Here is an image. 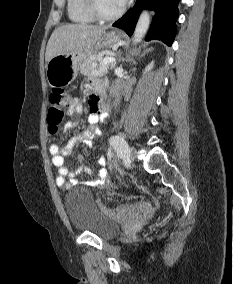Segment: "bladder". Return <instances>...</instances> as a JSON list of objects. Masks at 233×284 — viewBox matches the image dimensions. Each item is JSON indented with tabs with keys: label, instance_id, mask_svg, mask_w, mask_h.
<instances>
[{
	"label": "bladder",
	"instance_id": "1",
	"mask_svg": "<svg viewBox=\"0 0 233 284\" xmlns=\"http://www.w3.org/2000/svg\"><path fill=\"white\" fill-rule=\"evenodd\" d=\"M65 209L72 228L108 240L120 232L119 224L98 205L93 193L83 187L71 189L65 196Z\"/></svg>",
	"mask_w": 233,
	"mask_h": 284
}]
</instances>
